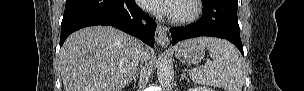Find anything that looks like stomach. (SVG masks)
Returning <instances> with one entry per match:
<instances>
[{
	"label": "stomach",
	"mask_w": 304,
	"mask_h": 91,
	"mask_svg": "<svg viewBox=\"0 0 304 91\" xmlns=\"http://www.w3.org/2000/svg\"><path fill=\"white\" fill-rule=\"evenodd\" d=\"M205 54V48L198 39L184 40L175 48V56L186 64L200 62Z\"/></svg>",
	"instance_id": "obj_1"
}]
</instances>
